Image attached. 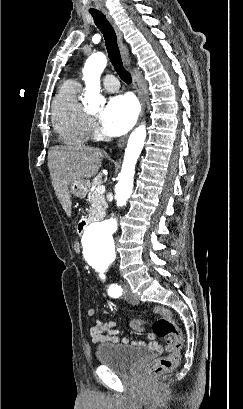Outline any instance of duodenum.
Wrapping results in <instances>:
<instances>
[{
	"mask_svg": "<svg viewBox=\"0 0 243 409\" xmlns=\"http://www.w3.org/2000/svg\"><path fill=\"white\" fill-rule=\"evenodd\" d=\"M89 223L90 221L88 219L82 220L78 226L79 232H83V230L88 226Z\"/></svg>",
	"mask_w": 243,
	"mask_h": 409,
	"instance_id": "410a0bca",
	"label": "duodenum"
}]
</instances>
